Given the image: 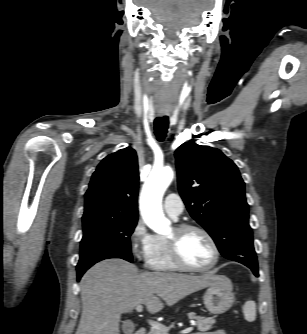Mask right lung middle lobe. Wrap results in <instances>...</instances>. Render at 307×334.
Instances as JSON below:
<instances>
[{"instance_id": "dd1d6c3e", "label": "right lung middle lobe", "mask_w": 307, "mask_h": 334, "mask_svg": "<svg viewBox=\"0 0 307 334\" xmlns=\"http://www.w3.org/2000/svg\"><path fill=\"white\" fill-rule=\"evenodd\" d=\"M137 220L111 217L83 218V238L77 273H84L93 264L108 258L132 262L130 236Z\"/></svg>"}]
</instances>
